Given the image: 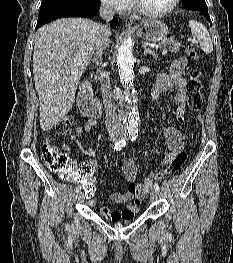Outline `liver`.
Returning <instances> with one entry per match:
<instances>
[{
    "label": "liver",
    "mask_w": 233,
    "mask_h": 263,
    "mask_svg": "<svg viewBox=\"0 0 233 263\" xmlns=\"http://www.w3.org/2000/svg\"><path fill=\"white\" fill-rule=\"evenodd\" d=\"M99 35V24L84 18L57 19L37 31L33 75L42 130L52 129L71 109Z\"/></svg>",
    "instance_id": "liver-1"
}]
</instances>
